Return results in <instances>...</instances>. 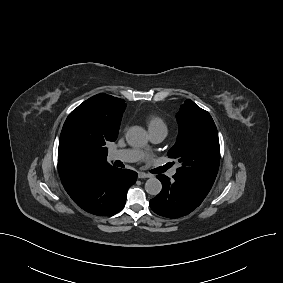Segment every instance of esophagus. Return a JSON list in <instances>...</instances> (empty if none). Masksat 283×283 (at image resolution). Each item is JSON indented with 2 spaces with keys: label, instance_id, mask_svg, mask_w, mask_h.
Masks as SVG:
<instances>
[{
  "label": "esophagus",
  "instance_id": "34e87169",
  "mask_svg": "<svg viewBox=\"0 0 283 283\" xmlns=\"http://www.w3.org/2000/svg\"><path fill=\"white\" fill-rule=\"evenodd\" d=\"M151 175L143 172L138 173V178L143 179V178H150Z\"/></svg>",
  "mask_w": 283,
  "mask_h": 283
}]
</instances>
